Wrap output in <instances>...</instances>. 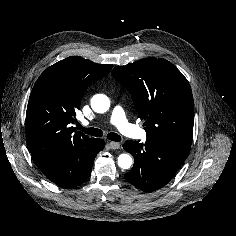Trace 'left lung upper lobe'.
Returning a JSON list of instances; mask_svg holds the SVG:
<instances>
[{
    "label": "left lung upper lobe",
    "instance_id": "left-lung-upper-lobe-1",
    "mask_svg": "<svg viewBox=\"0 0 236 236\" xmlns=\"http://www.w3.org/2000/svg\"><path fill=\"white\" fill-rule=\"evenodd\" d=\"M112 76L131 93L147 139L190 150L194 102L189 82L169 61L145 58L117 66Z\"/></svg>",
    "mask_w": 236,
    "mask_h": 236
}]
</instances>
